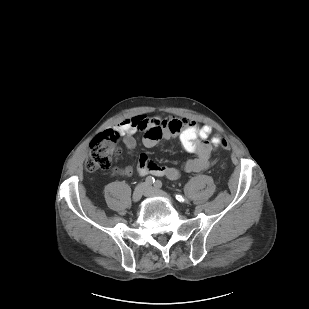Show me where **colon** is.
Returning a JSON list of instances; mask_svg holds the SVG:
<instances>
[{
    "label": "colon",
    "instance_id": "colon-1",
    "mask_svg": "<svg viewBox=\"0 0 309 309\" xmlns=\"http://www.w3.org/2000/svg\"><path fill=\"white\" fill-rule=\"evenodd\" d=\"M117 137L105 134L91 141L85 160V169L87 171L94 172L110 168L114 157L120 152L115 145ZM218 145L221 149H230V144L225 139H220Z\"/></svg>",
    "mask_w": 309,
    "mask_h": 309
}]
</instances>
